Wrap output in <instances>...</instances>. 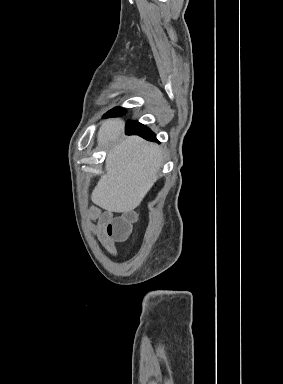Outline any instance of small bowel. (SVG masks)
<instances>
[{"mask_svg": "<svg viewBox=\"0 0 283 384\" xmlns=\"http://www.w3.org/2000/svg\"><path fill=\"white\" fill-rule=\"evenodd\" d=\"M89 219L92 233L100 240L109 254L114 256L116 254L115 239L109 235V225L115 219L113 214L93 207L90 210Z\"/></svg>", "mask_w": 283, "mask_h": 384, "instance_id": "obj_1", "label": "small bowel"}]
</instances>
